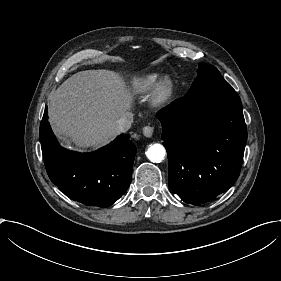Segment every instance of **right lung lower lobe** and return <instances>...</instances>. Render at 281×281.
Returning a JSON list of instances; mask_svg holds the SVG:
<instances>
[{"mask_svg":"<svg viewBox=\"0 0 281 281\" xmlns=\"http://www.w3.org/2000/svg\"><path fill=\"white\" fill-rule=\"evenodd\" d=\"M47 107L40 124V141L50 180L69 198L87 206L106 208L127 190L132 176L135 145L119 135L92 153L61 147L48 122Z\"/></svg>","mask_w":281,"mask_h":281,"instance_id":"right-lung-lower-lobe-1","label":"right lung lower lobe"}]
</instances>
